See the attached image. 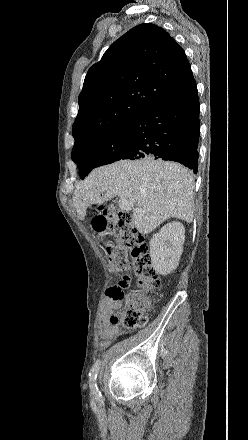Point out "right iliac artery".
I'll return each mask as SVG.
<instances>
[{"mask_svg": "<svg viewBox=\"0 0 248 440\" xmlns=\"http://www.w3.org/2000/svg\"><path fill=\"white\" fill-rule=\"evenodd\" d=\"M99 366H100V360H97L94 363V365H93V367H92V369H91V371L89 373V376H90V379H89L90 388H91L92 393L96 396V398H100L101 397V393H100V391H99V389L97 387V384H96L97 372L99 370Z\"/></svg>", "mask_w": 248, "mask_h": 440, "instance_id": "right-iliac-artery-1", "label": "right iliac artery"}]
</instances>
